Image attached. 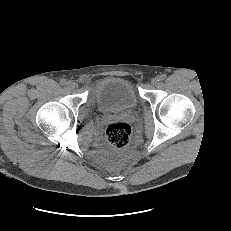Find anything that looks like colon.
Here are the masks:
<instances>
[{
  "mask_svg": "<svg viewBox=\"0 0 231 231\" xmlns=\"http://www.w3.org/2000/svg\"><path fill=\"white\" fill-rule=\"evenodd\" d=\"M131 127L124 122H117L109 125L106 129V138L108 143L116 148H125L130 141Z\"/></svg>",
  "mask_w": 231,
  "mask_h": 231,
  "instance_id": "5ec220e1",
  "label": "colon"
}]
</instances>
